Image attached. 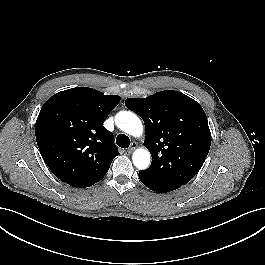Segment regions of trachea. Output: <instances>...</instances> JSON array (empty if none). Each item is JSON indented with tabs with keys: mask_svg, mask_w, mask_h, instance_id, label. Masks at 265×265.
<instances>
[{
	"mask_svg": "<svg viewBox=\"0 0 265 265\" xmlns=\"http://www.w3.org/2000/svg\"><path fill=\"white\" fill-rule=\"evenodd\" d=\"M116 144L121 148H128L130 139L125 134H119L116 138Z\"/></svg>",
	"mask_w": 265,
	"mask_h": 265,
	"instance_id": "3493384b",
	"label": "trachea"
}]
</instances>
